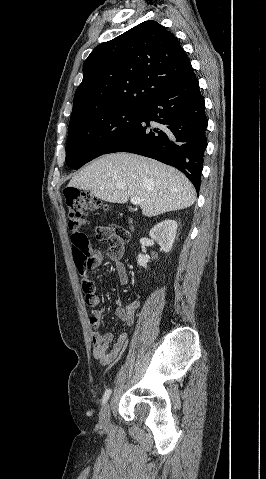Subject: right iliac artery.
Here are the masks:
<instances>
[{"mask_svg": "<svg viewBox=\"0 0 266 479\" xmlns=\"http://www.w3.org/2000/svg\"><path fill=\"white\" fill-rule=\"evenodd\" d=\"M111 392H112L111 389H107V390L105 391V393H104V395H103V398H102V404H105V403L108 401V399H109V397H110V395H111Z\"/></svg>", "mask_w": 266, "mask_h": 479, "instance_id": "82829eb1", "label": "right iliac artery"}]
</instances>
